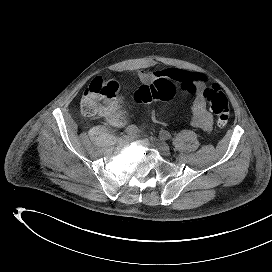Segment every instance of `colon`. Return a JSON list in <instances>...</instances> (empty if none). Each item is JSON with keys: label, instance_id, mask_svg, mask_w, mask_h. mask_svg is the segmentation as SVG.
Listing matches in <instances>:
<instances>
[{"label": "colon", "instance_id": "colon-1", "mask_svg": "<svg viewBox=\"0 0 272 272\" xmlns=\"http://www.w3.org/2000/svg\"><path fill=\"white\" fill-rule=\"evenodd\" d=\"M176 92V85L167 79H156L141 86L134 94L137 103H149L156 100H170ZM205 100L217 119L219 127H224L230 117L229 102L219 86L211 85L203 91ZM121 91L115 81L95 78L86 88L80 108L83 115L94 118L109 117L116 111Z\"/></svg>", "mask_w": 272, "mask_h": 272}]
</instances>
